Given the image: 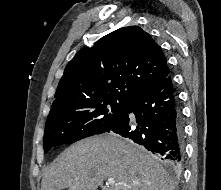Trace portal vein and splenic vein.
<instances>
[{
    "label": "portal vein and splenic vein",
    "mask_w": 221,
    "mask_h": 190,
    "mask_svg": "<svg viewBox=\"0 0 221 190\" xmlns=\"http://www.w3.org/2000/svg\"><path fill=\"white\" fill-rule=\"evenodd\" d=\"M107 185H114L115 184V180L113 178H109L106 182ZM125 185V184H124Z\"/></svg>",
    "instance_id": "1"
}]
</instances>
